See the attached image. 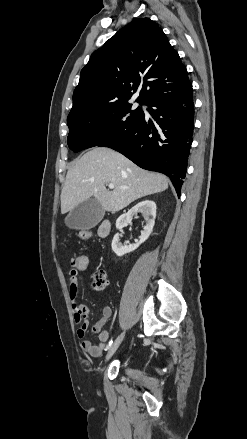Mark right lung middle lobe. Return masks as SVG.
Masks as SVG:
<instances>
[{
	"mask_svg": "<svg viewBox=\"0 0 247 439\" xmlns=\"http://www.w3.org/2000/svg\"><path fill=\"white\" fill-rule=\"evenodd\" d=\"M143 116L140 107L134 109L128 100H124L68 117V146L75 153L94 146L107 147L127 134Z\"/></svg>",
	"mask_w": 247,
	"mask_h": 439,
	"instance_id": "obj_1",
	"label": "right lung middle lobe"
}]
</instances>
